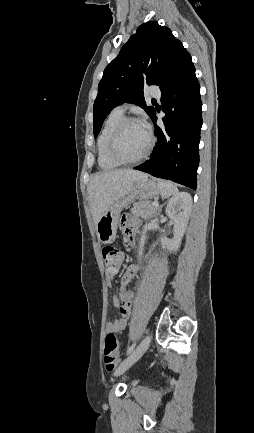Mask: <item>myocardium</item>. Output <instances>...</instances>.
<instances>
[{"instance_id": "myocardium-1", "label": "myocardium", "mask_w": 254, "mask_h": 433, "mask_svg": "<svg viewBox=\"0 0 254 433\" xmlns=\"http://www.w3.org/2000/svg\"><path fill=\"white\" fill-rule=\"evenodd\" d=\"M132 122H139V121L133 117H123V119L116 125V127L112 131L110 138H109V141H108V146H107L108 155L113 161H115L116 163H118L120 165L134 164V163L142 161L144 158L147 157V155L149 154V152L152 149L153 144H154L153 136L149 132H147L148 143H147L146 148L143 150V152L138 157L133 158V159H126V158L122 157L117 150V141H118L119 135H120L121 131L123 130V128L127 124L132 123Z\"/></svg>"}]
</instances>
